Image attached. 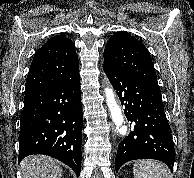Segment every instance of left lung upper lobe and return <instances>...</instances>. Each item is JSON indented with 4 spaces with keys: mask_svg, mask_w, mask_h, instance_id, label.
Listing matches in <instances>:
<instances>
[{
    "mask_svg": "<svg viewBox=\"0 0 194 178\" xmlns=\"http://www.w3.org/2000/svg\"><path fill=\"white\" fill-rule=\"evenodd\" d=\"M104 64L126 75L158 84L150 53L128 32L120 31L110 37L104 50Z\"/></svg>",
    "mask_w": 194,
    "mask_h": 178,
    "instance_id": "obj_1",
    "label": "left lung upper lobe"
}]
</instances>
